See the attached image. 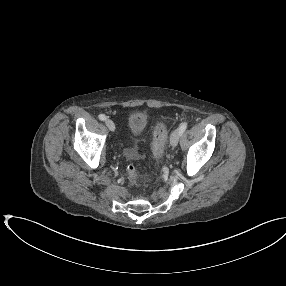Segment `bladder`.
Instances as JSON below:
<instances>
[{
  "label": "bladder",
  "instance_id": "obj_1",
  "mask_svg": "<svg viewBox=\"0 0 286 286\" xmlns=\"http://www.w3.org/2000/svg\"><path fill=\"white\" fill-rule=\"evenodd\" d=\"M147 119L143 114H133L128 118V128L133 135L141 134L146 127Z\"/></svg>",
  "mask_w": 286,
  "mask_h": 286
}]
</instances>
